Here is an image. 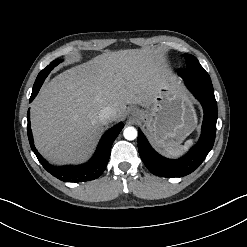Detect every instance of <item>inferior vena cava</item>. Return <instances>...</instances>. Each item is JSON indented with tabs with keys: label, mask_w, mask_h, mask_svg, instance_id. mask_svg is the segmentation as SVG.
<instances>
[{
	"label": "inferior vena cava",
	"mask_w": 247,
	"mask_h": 247,
	"mask_svg": "<svg viewBox=\"0 0 247 247\" xmlns=\"http://www.w3.org/2000/svg\"><path fill=\"white\" fill-rule=\"evenodd\" d=\"M116 117V112L111 107L103 108L99 113V121L101 124L105 125L112 122Z\"/></svg>",
	"instance_id": "602c4592"
}]
</instances>
